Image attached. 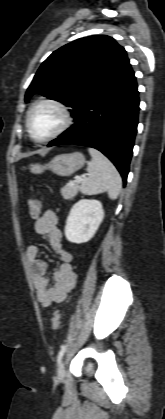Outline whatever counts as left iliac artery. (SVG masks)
Segmentation results:
<instances>
[{
    "label": "left iliac artery",
    "instance_id": "1",
    "mask_svg": "<svg viewBox=\"0 0 165 419\" xmlns=\"http://www.w3.org/2000/svg\"><path fill=\"white\" fill-rule=\"evenodd\" d=\"M66 347H67L66 345H63L61 347L59 353H58V356H57V362H58V364L60 363V361H61V359H62V357H63V355H64V353L66 351Z\"/></svg>",
    "mask_w": 165,
    "mask_h": 419
}]
</instances>
